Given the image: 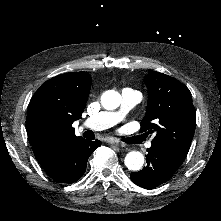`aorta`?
<instances>
[{
  "label": "aorta",
  "mask_w": 221,
  "mask_h": 221,
  "mask_svg": "<svg viewBox=\"0 0 221 221\" xmlns=\"http://www.w3.org/2000/svg\"><path fill=\"white\" fill-rule=\"evenodd\" d=\"M121 102V96L118 92L111 91L102 95L101 103L107 110L116 109ZM124 163L129 170L139 171L144 165V156L139 151L127 153Z\"/></svg>",
  "instance_id": "1"
}]
</instances>
